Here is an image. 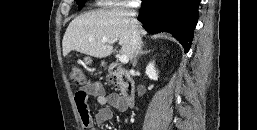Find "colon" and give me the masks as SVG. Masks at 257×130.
Wrapping results in <instances>:
<instances>
[{"label":"colon","mask_w":257,"mask_h":130,"mask_svg":"<svg viewBox=\"0 0 257 130\" xmlns=\"http://www.w3.org/2000/svg\"><path fill=\"white\" fill-rule=\"evenodd\" d=\"M70 77L76 83L83 84L85 82L84 72L79 66L72 67ZM109 80L114 86H117V77L112 76Z\"/></svg>","instance_id":"colon-1"}]
</instances>
